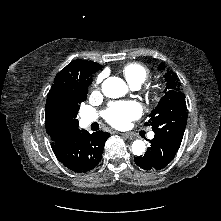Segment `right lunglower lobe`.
<instances>
[{
	"label": "right lung lower lobe",
	"mask_w": 221,
	"mask_h": 221,
	"mask_svg": "<svg viewBox=\"0 0 221 221\" xmlns=\"http://www.w3.org/2000/svg\"><path fill=\"white\" fill-rule=\"evenodd\" d=\"M108 138L107 132L89 134L86 130H78L68 144L53 151L57 159L70 170L86 173L98 165Z\"/></svg>",
	"instance_id": "right-lung-lower-lobe-1"
}]
</instances>
